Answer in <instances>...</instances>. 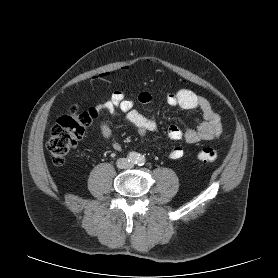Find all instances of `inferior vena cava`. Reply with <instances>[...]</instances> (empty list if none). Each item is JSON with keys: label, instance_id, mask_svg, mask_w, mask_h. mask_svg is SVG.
<instances>
[{"label": "inferior vena cava", "instance_id": "inferior-vena-cava-1", "mask_svg": "<svg viewBox=\"0 0 278 278\" xmlns=\"http://www.w3.org/2000/svg\"><path fill=\"white\" fill-rule=\"evenodd\" d=\"M132 164L126 158H120L117 160V167L120 169L131 168Z\"/></svg>", "mask_w": 278, "mask_h": 278}]
</instances>
